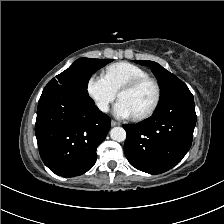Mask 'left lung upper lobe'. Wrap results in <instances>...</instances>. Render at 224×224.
<instances>
[{
  "label": "left lung upper lobe",
  "instance_id": "obj_1",
  "mask_svg": "<svg viewBox=\"0 0 224 224\" xmlns=\"http://www.w3.org/2000/svg\"><path fill=\"white\" fill-rule=\"evenodd\" d=\"M137 63L151 67L161 86V98L157 107L162 106L180 94L190 93L187 85L177 78L174 74L167 71L161 65L153 61H140Z\"/></svg>",
  "mask_w": 224,
  "mask_h": 224
}]
</instances>
